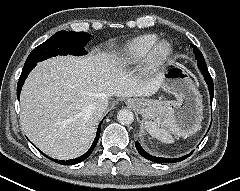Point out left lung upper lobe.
<instances>
[{
  "mask_svg": "<svg viewBox=\"0 0 240 191\" xmlns=\"http://www.w3.org/2000/svg\"><path fill=\"white\" fill-rule=\"evenodd\" d=\"M191 47L193 48V51L195 53V57L198 62L204 61L202 53L198 50V48L195 45L191 44Z\"/></svg>",
  "mask_w": 240,
  "mask_h": 191,
  "instance_id": "1",
  "label": "left lung upper lobe"
}]
</instances>
